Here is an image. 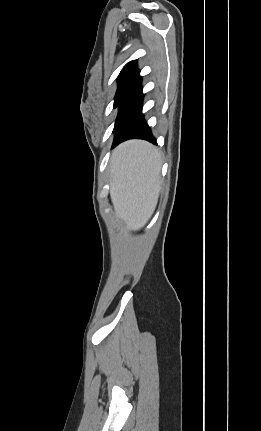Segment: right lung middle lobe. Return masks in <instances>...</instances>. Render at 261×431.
Returning a JSON list of instances; mask_svg holds the SVG:
<instances>
[{"label":"right lung middle lobe","mask_w":261,"mask_h":431,"mask_svg":"<svg viewBox=\"0 0 261 431\" xmlns=\"http://www.w3.org/2000/svg\"><path fill=\"white\" fill-rule=\"evenodd\" d=\"M138 77L139 73H133L118 78L119 84L115 95L114 107H117L120 104L122 98L126 95Z\"/></svg>","instance_id":"right-lung-middle-lobe-1"}]
</instances>
